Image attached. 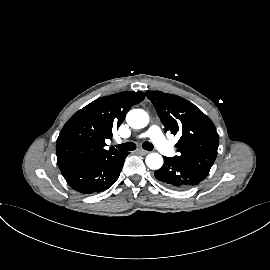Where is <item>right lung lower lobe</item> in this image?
<instances>
[{"label": "right lung lower lobe", "mask_w": 270, "mask_h": 270, "mask_svg": "<svg viewBox=\"0 0 270 270\" xmlns=\"http://www.w3.org/2000/svg\"><path fill=\"white\" fill-rule=\"evenodd\" d=\"M128 152H117L61 169L67 183L84 194L98 193L118 179Z\"/></svg>", "instance_id": "1"}]
</instances>
